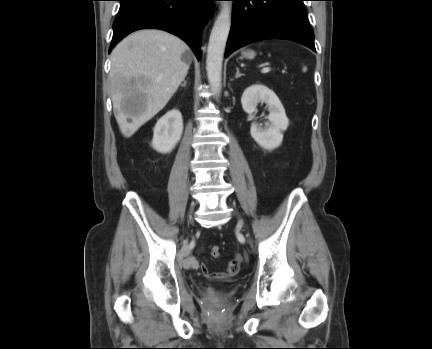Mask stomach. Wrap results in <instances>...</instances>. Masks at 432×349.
<instances>
[{
    "label": "stomach",
    "instance_id": "obj_1",
    "mask_svg": "<svg viewBox=\"0 0 432 349\" xmlns=\"http://www.w3.org/2000/svg\"><path fill=\"white\" fill-rule=\"evenodd\" d=\"M256 53L252 50L242 51V56L247 59H253Z\"/></svg>",
    "mask_w": 432,
    "mask_h": 349
}]
</instances>
